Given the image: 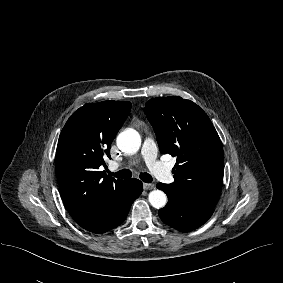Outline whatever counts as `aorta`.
<instances>
[{
	"label": "aorta",
	"instance_id": "aorta-1",
	"mask_svg": "<svg viewBox=\"0 0 283 283\" xmlns=\"http://www.w3.org/2000/svg\"><path fill=\"white\" fill-rule=\"evenodd\" d=\"M118 148L127 154H135L141 146V138L134 129H126L117 137ZM150 204L157 209L163 208L167 203V196L161 190H153L149 193Z\"/></svg>",
	"mask_w": 283,
	"mask_h": 283
}]
</instances>
